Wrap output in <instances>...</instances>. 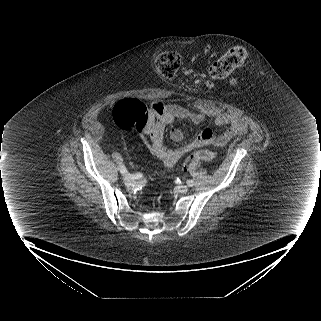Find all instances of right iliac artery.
I'll return each mask as SVG.
<instances>
[{"mask_svg": "<svg viewBox=\"0 0 321 321\" xmlns=\"http://www.w3.org/2000/svg\"><path fill=\"white\" fill-rule=\"evenodd\" d=\"M120 172L125 178H128V179H134V178L136 179L139 177V175H137V174L136 175L129 174L124 165L120 166Z\"/></svg>", "mask_w": 321, "mask_h": 321, "instance_id": "82829eb1", "label": "right iliac artery"}]
</instances>
